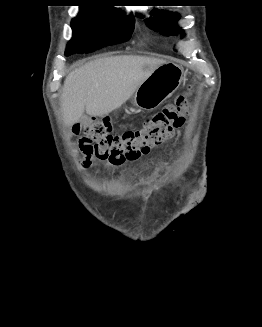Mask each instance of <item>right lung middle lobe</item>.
Instances as JSON below:
<instances>
[{
	"mask_svg": "<svg viewBox=\"0 0 262 327\" xmlns=\"http://www.w3.org/2000/svg\"><path fill=\"white\" fill-rule=\"evenodd\" d=\"M134 16L123 13L79 9L71 22L73 37L67 44L66 56L88 53L104 46L127 41L133 32Z\"/></svg>",
	"mask_w": 262,
	"mask_h": 327,
	"instance_id": "obj_1",
	"label": "right lung middle lobe"
}]
</instances>
